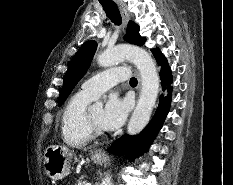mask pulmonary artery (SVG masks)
<instances>
[{"mask_svg":"<svg viewBox=\"0 0 233 185\" xmlns=\"http://www.w3.org/2000/svg\"><path fill=\"white\" fill-rule=\"evenodd\" d=\"M128 77L129 69L126 67L108 68L86 80L81 86L80 93L95 99L101 93L126 80Z\"/></svg>","mask_w":233,"mask_h":185,"instance_id":"pulmonary-artery-1","label":"pulmonary artery"}]
</instances>
